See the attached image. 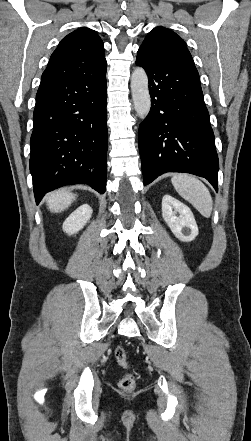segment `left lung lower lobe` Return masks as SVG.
Listing matches in <instances>:
<instances>
[{"label": "left lung lower lobe", "instance_id": "left-lung-lower-lobe-1", "mask_svg": "<svg viewBox=\"0 0 251 441\" xmlns=\"http://www.w3.org/2000/svg\"><path fill=\"white\" fill-rule=\"evenodd\" d=\"M149 79L151 109L139 126L144 184L166 172L206 178L218 191L219 162L198 71L138 52Z\"/></svg>", "mask_w": 251, "mask_h": 441}]
</instances>
